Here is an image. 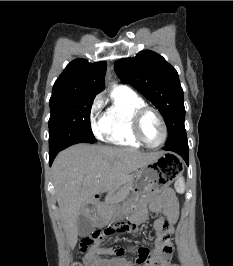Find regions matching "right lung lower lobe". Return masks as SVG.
Masks as SVG:
<instances>
[{"label": "right lung lower lobe", "instance_id": "98d812e1", "mask_svg": "<svg viewBox=\"0 0 233 266\" xmlns=\"http://www.w3.org/2000/svg\"><path fill=\"white\" fill-rule=\"evenodd\" d=\"M59 151H56V152H52V153H49V165L51 166L54 158L56 157V155L58 154Z\"/></svg>", "mask_w": 233, "mask_h": 266}]
</instances>
